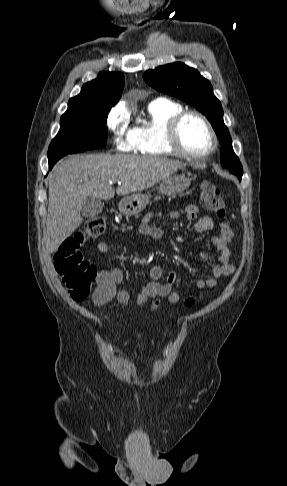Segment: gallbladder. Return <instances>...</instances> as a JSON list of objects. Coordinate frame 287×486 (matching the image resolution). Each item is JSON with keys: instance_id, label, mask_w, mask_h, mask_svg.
Listing matches in <instances>:
<instances>
[{"instance_id": "bac80fb5", "label": "gallbladder", "mask_w": 287, "mask_h": 486, "mask_svg": "<svg viewBox=\"0 0 287 486\" xmlns=\"http://www.w3.org/2000/svg\"><path fill=\"white\" fill-rule=\"evenodd\" d=\"M103 206L104 205L100 199L89 197L82 205L81 214L85 218L98 216L101 214Z\"/></svg>"}]
</instances>
